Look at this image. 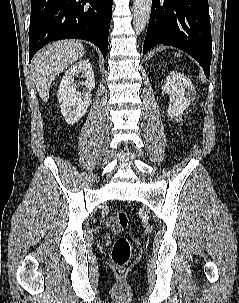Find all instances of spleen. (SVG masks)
Masks as SVG:
<instances>
[{
  "instance_id": "1",
  "label": "spleen",
  "mask_w": 239,
  "mask_h": 303,
  "mask_svg": "<svg viewBox=\"0 0 239 303\" xmlns=\"http://www.w3.org/2000/svg\"><path fill=\"white\" fill-rule=\"evenodd\" d=\"M175 55H177V57H181V54H180V53H175Z\"/></svg>"
}]
</instances>
